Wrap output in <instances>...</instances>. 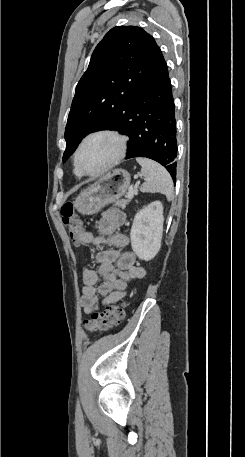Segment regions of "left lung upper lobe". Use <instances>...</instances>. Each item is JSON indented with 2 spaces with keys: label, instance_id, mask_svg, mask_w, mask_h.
Wrapping results in <instances>:
<instances>
[{
  "label": "left lung upper lobe",
  "instance_id": "1",
  "mask_svg": "<svg viewBox=\"0 0 245 457\" xmlns=\"http://www.w3.org/2000/svg\"><path fill=\"white\" fill-rule=\"evenodd\" d=\"M160 56L154 38L140 27L116 26L107 32L76 86L63 162L87 134L112 130L134 111L147 94Z\"/></svg>",
  "mask_w": 245,
  "mask_h": 457
}]
</instances>
